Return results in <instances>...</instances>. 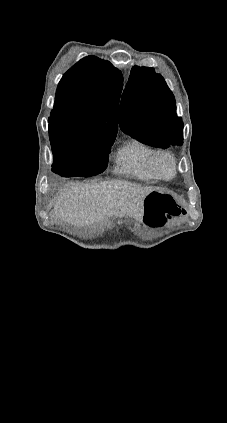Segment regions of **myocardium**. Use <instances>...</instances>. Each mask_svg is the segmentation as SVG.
<instances>
[{
    "instance_id": "obj_1",
    "label": "myocardium",
    "mask_w": 227,
    "mask_h": 423,
    "mask_svg": "<svg viewBox=\"0 0 227 423\" xmlns=\"http://www.w3.org/2000/svg\"><path fill=\"white\" fill-rule=\"evenodd\" d=\"M163 158L167 159L169 162L168 171L162 165ZM153 164L156 171L163 179H171L176 174L177 160L174 154L169 150H156L154 154Z\"/></svg>"
}]
</instances>
